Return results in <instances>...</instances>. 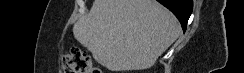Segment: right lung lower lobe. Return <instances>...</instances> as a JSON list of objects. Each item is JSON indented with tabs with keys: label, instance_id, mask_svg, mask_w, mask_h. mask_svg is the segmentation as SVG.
<instances>
[{
	"label": "right lung lower lobe",
	"instance_id": "1",
	"mask_svg": "<svg viewBox=\"0 0 244 73\" xmlns=\"http://www.w3.org/2000/svg\"><path fill=\"white\" fill-rule=\"evenodd\" d=\"M167 7L180 21L183 31L186 30L188 19L192 13L193 0H157Z\"/></svg>",
	"mask_w": 244,
	"mask_h": 73
}]
</instances>
